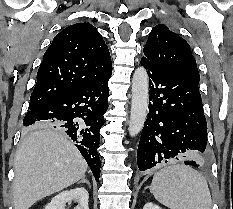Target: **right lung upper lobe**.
<instances>
[{"label":"right lung upper lobe","mask_w":233,"mask_h":209,"mask_svg":"<svg viewBox=\"0 0 233 209\" xmlns=\"http://www.w3.org/2000/svg\"><path fill=\"white\" fill-rule=\"evenodd\" d=\"M111 67L108 47L97 29L89 23L70 25L45 52L30 103L38 106L84 87L110 73Z\"/></svg>","instance_id":"1"}]
</instances>
